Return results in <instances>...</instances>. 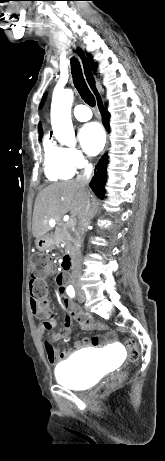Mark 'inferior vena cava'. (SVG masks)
Segmentation results:
<instances>
[{"label": "inferior vena cava", "instance_id": "obj_1", "mask_svg": "<svg viewBox=\"0 0 165 461\" xmlns=\"http://www.w3.org/2000/svg\"><path fill=\"white\" fill-rule=\"evenodd\" d=\"M91 173H92V165L88 164L85 168L84 173L77 177V182L80 184V186L85 191L84 208L78 218L79 219L78 233L80 235V239H82V237L84 236L86 228L90 224V220L93 216V211L91 209V204H90V191L88 190V184H89ZM80 275H81V263H80V252L78 250L76 253V257L74 259L73 265H72V279L76 280L80 277Z\"/></svg>", "mask_w": 165, "mask_h": 461}]
</instances>
